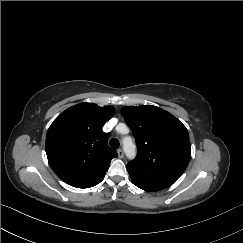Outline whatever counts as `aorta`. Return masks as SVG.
<instances>
[{
    "mask_svg": "<svg viewBox=\"0 0 243 243\" xmlns=\"http://www.w3.org/2000/svg\"><path fill=\"white\" fill-rule=\"evenodd\" d=\"M123 149L129 159H133L135 157L136 149L130 137H126L123 139Z\"/></svg>",
    "mask_w": 243,
    "mask_h": 243,
    "instance_id": "obj_1",
    "label": "aorta"
}]
</instances>
